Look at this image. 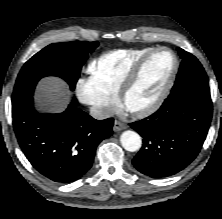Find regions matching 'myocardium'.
Wrapping results in <instances>:
<instances>
[{
	"label": "myocardium",
	"instance_id": "obj_1",
	"mask_svg": "<svg viewBox=\"0 0 222 219\" xmlns=\"http://www.w3.org/2000/svg\"><path fill=\"white\" fill-rule=\"evenodd\" d=\"M164 51L172 55L173 67L160 93L151 104L140 109H135V110L128 109L126 106L127 96L137 84L145 64L153 55ZM178 70H179V59L177 54L172 49L163 46L151 49L136 61V63L133 65L128 74L123 78L119 91L117 93L118 102L123 107H125L134 117L143 118L153 114L161 107V105L169 95L171 88L175 82Z\"/></svg>",
	"mask_w": 222,
	"mask_h": 219
}]
</instances>
